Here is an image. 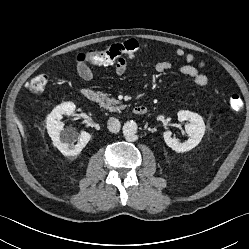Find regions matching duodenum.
Segmentation results:
<instances>
[{
    "label": "duodenum",
    "mask_w": 249,
    "mask_h": 249,
    "mask_svg": "<svg viewBox=\"0 0 249 249\" xmlns=\"http://www.w3.org/2000/svg\"><path fill=\"white\" fill-rule=\"evenodd\" d=\"M81 94L85 99L90 102H96L99 100L100 96L98 92L92 88H83ZM133 112L135 115L141 116L147 113V106L144 104L136 105L133 108Z\"/></svg>",
    "instance_id": "1"
}]
</instances>
